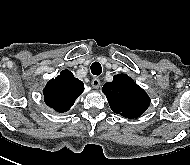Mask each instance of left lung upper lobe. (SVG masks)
<instances>
[{
	"label": "left lung upper lobe",
	"instance_id": "obj_1",
	"mask_svg": "<svg viewBox=\"0 0 190 165\" xmlns=\"http://www.w3.org/2000/svg\"><path fill=\"white\" fill-rule=\"evenodd\" d=\"M102 92L111 109L126 118L139 117L150 104L147 93L126 74L115 75L112 82L104 84Z\"/></svg>",
	"mask_w": 190,
	"mask_h": 165
}]
</instances>
